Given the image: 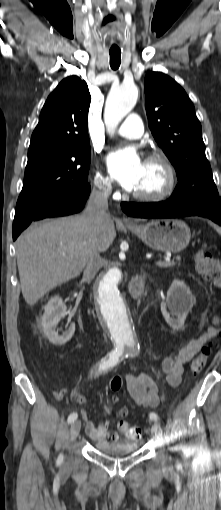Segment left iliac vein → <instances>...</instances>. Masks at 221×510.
I'll return each mask as SVG.
<instances>
[{
	"label": "left iliac vein",
	"mask_w": 221,
	"mask_h": 510,
	"mask_svg": "<svg viewBox=\"0 0 221 510\" xmlns=\"http://www.w3.org/2000/svg\"><path fill=\"white\" fill-rule=\"evenodd\" d=\"M152 435L156 440H161L163 437V432L160 424L158 422H155L152 426Z\"/></svg>",
	"instance_id": "left-iliac-vein-1"
}]
</instances>
